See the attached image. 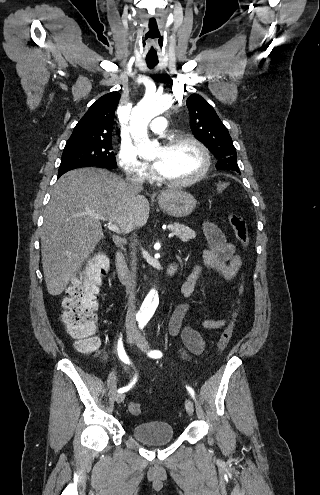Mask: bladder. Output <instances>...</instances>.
<instances>
[{"instance_id": "bladder-1", "label": "bladder", "mask_w": 320, "mask_h": 495, "mask_svg": "<svg viewBox=\"0 0 320 495\" xmlns=\"http://www.w3.org/2000/svg\"><path fill=\"white\" fill-rule=\"evenodd\" d=\"M132 433L137 440L151 445L169 443L175 437L172 425L164 421H149L136 424L132 429Z\"/></svg>"}]
</instances>
